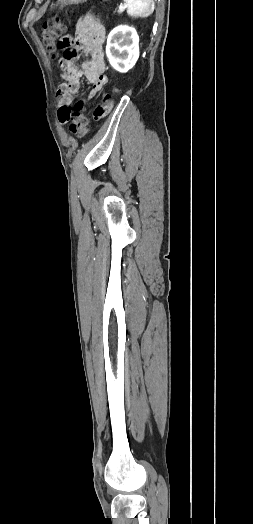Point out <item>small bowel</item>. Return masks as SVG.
Masks as SVG:
<instances>
[{"mask_svg": "<svg viewBox=\"0 0 253 524\" xmlns=\"http://www.w3.org/2000/svg\"><path fill=\"white\" fill-rule=\"evenodd\" d=\"M104 38V26L93 15L89 14L78 19L75 34L72 30H67L58 36L56 49L60 52L59 65L65 78L58 89L60 106L71 104L74 94L80 87L82 78L92 84L87 101L92 100L107 83L103 54ZM77 49L90 56V60L81 67L74 64L79 58ZM110 95L109 90H103L100 99L94 102L92 114L96 120L110 117L115 103V98Z\"/></svg>", "mask_w": 253, "mask_h": 524, "instance_id": "obj_1", "label": "small bowel"}]
</instances>
